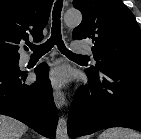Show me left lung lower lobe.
I'll use <instances>...</instances> for the list:
<instances>
[{"label": "left lung lower lobe", "instance_id": "left-lung-lower-lobe-1", "mask_svg": "<svg viewBox=\"0 0 141 139\" xmlns=\"http://www.w3.org/2000/svg\"><path fill=\"white\" fill-rule=\"evenodd\" d=\"M86 72L89 82L72 102L68 135L75 138L109 127L141 132V70L106 66Z\"/></svg>", "mask_w": 141, "mask_h": 139}]
</instances>
